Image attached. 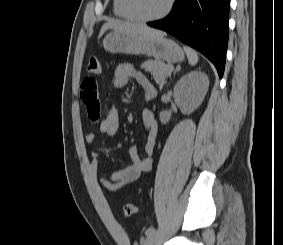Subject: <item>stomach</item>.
Returning a JSON list of instances; mask_svg holds the SVG:
<instances>
[{"label":"stomach","mask_w":283,"mask_h":245,"mask_svg":"<svg viewBox=\"0 0 283 245\" xmlns=\"http://www.w3.org/2000/svg\"><path fill=\"white\" fill-rule=\"evenodd\" d=\"M103 47L111 53L144 54L169 63L184 59L181 47L162 36L113 31L103 40Z\"/></svg>","instance_id":"stomach-1"}]
</instances>
